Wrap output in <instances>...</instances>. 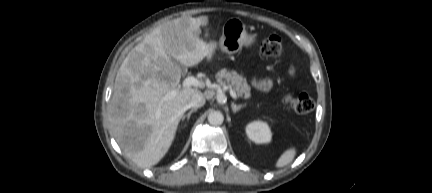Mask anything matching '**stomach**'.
I'll return each instance as SVG.
<instances>
[{
	"instance_id": "stomach-1",
	"label": "stomach",
	"mask_w": 432,
	"mask_h": 193,
	"mask_svg": "<svg viewBox=\"0 0 432 193\" xmlns=\"http://www.w3.org/2000/svg\"><path fill=\"white\" fill-rule=\"evenodd\" d=\"M256 41V35L248 34L245 24L237 19L231 18L225 22L222 28V36L219 46L223 52L228 54L237 53L242 46L249 47Z\"/></svg>"
}]
</instances>
